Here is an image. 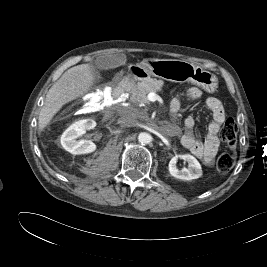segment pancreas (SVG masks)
I'll return each instance as SVG.
<instances>
[{"mask_svg": "<svg viewBox=\"0 0 267 267\" xmlns=\"http://www.w3.org/2000/svg\"><path fill=\"white\" fill-rule=\"evenodd\" d=\"M163 84L162 80L152 78L138 83L131 89V101L134 103H148L147 95L150 92L160 91Z\"/></svg>", "mask_w": 267, "mask_h": 267, "instance_id": "pancreas-1", "label": "pancreas"}]
</instances>
